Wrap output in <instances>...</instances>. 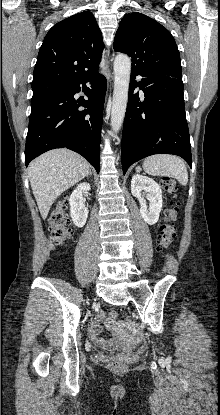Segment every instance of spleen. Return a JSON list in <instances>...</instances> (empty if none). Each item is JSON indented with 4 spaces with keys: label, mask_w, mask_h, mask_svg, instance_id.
<instances>
[{
    "label": "spleen",
    "mask_w": 220,
    "mask_h": 415,
    "mask_svg": "<svg viewBox=\"0 0 220 415\" xmlns=\"http://www.w3.org/2000/svg\"><path fill=\"white\" fill-rule=\"evenodd\" d=\"M143 169L152 176L173 177L185 186L188 172L184 161L174 155L159 154L147 157L143 161Z\"/></svg>",
    "instance_id": "3e777b00"
}]
</instances>
